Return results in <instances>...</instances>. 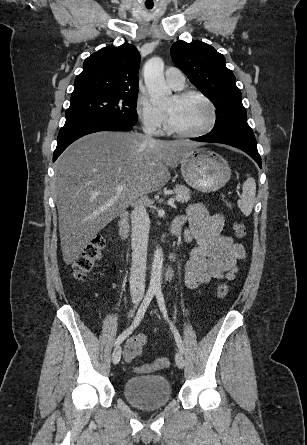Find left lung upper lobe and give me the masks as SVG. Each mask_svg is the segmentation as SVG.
I'll return each mask as SVG.
<instances>
[{
    "label": "left lung upper lobe",
    "instance_id": "5c2ea615",
    "mask_svg": "<svg viewBox=\"0 0 307 445\" xmlns=\"http://www.w3.org/2000/svg\"><path fill=\"white\" fill-rule=\"evenodd\" d=\"M171 55L190 82L216 107L217 119L211 133L252 132L235 76L226 67L222 54L201 41H177L171 47Z\"/></svg>",
    "mask_w": 307,
    "mask_h": 445
}]
</instances>
